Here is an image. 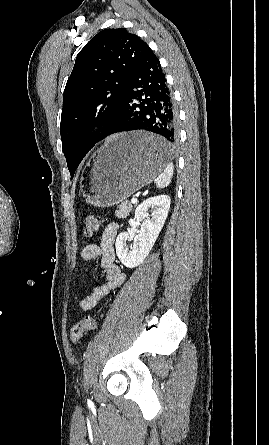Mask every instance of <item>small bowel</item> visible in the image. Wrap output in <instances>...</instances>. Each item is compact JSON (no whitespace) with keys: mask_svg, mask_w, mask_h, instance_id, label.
<instances>
[{"mask_svg":"<svg viewBox=\"0 0 269 445\" xmlns=\"http://www.w3.org/2000/svg\"><path fill=\"white\" fill-rule=\"evenodd\" d=\"M118 234V225L108 224L102 232L99 244H88L82 252L81 257L84 261L95 260L99 266L105 283L94 288L92 293L83 297L79 301V307L84 311H92L97 308L100 302L106 298L113 290L120 287L125 274L115 263V241Z\"/></svg>","mask_w":269,"mask_h":445,"instance_id":"c3829d8e","label":"small bowel"}]
</instances>
